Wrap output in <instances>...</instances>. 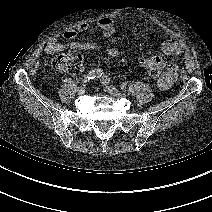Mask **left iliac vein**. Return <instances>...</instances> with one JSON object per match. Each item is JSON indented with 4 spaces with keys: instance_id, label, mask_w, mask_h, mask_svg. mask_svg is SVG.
<instances>
[{
    "instance_id": "left-iliac-vein-1",
    "label": "left iliac vein",
    "mask_w": 212,
    "mask_h": 212,
    "mask_svg": "<svg viewBox=\"0 0 212 212\" xmlns=\"http://www.w3.org/2000/svg\"><path fill=\"white\" fill-rule=\"evenodd\" d=\"M104 85V84H103ZM104 90L109 93L112 96L115 97H121V96H125V94L121 93L119 90H117L115 87L113 86H106L104 87Z\"/></svg>"
}]
</instances>
